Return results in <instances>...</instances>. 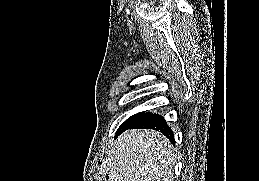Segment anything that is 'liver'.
Masks as SVG:
<instances>
[{
  "mask_svg": "<svg viewBox=\"0 0 259 181\" xmlns=\"http://www.w3.org/2000/svg\"><path fill=\"white\" fill-rule=\"evenodd\" d=\"M108 181H172L176 163L173 145L155 130H128L110 154Z\"/></svg>",
  "mask_w": 259,
  "mask_h": 181,
  "instance_id": "6515ba94",
  "label": "liver"
}]
</instances>
